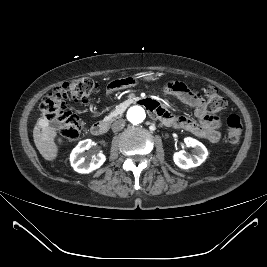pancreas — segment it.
I'll return each mask as SVG.
<instances>
[{
	"label": "pancreas",
	"mask_w": 267,
	"mask_h": 267,
	"mask_svg": "<svg viewBox=\"0 0 267 267\" xmlns=\"http://www.w3.org/2000/svg\"><path fill=\"white\" fill-rule=\"evenodd\" d=\"M121 113L114 111L104 118L106 122H112L115 118H118Z\"/></svg>",
	"instance_id": "obj_1"
}]
</instances>
